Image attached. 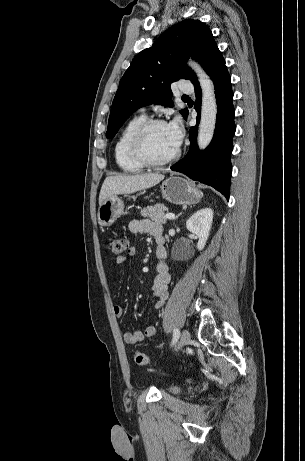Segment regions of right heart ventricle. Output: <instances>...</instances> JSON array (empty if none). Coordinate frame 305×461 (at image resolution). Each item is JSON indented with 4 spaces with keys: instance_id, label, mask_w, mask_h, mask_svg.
I'll return each instance as SVG.
<instances>
[{
    "instance_id": "obj_1",
    "label": "right heart ventricle",
    "mask_w": 305,
    "mask_h": 461,
    "mask_svg": "<svg viewBox=\"0 0 305 461\" xmlns=\"http://www.w3.org/2000/svg\"><path fill=\"white\" fill-rule=\"evenodd\" d=\"M144 115H137L131 118L123 127L119 134L115 146H114V157L118 167L125 172H139L144 166L137 163L129 153L130 139L137 129V127L145 121Z\"/></svg>"
}]
</instances>
